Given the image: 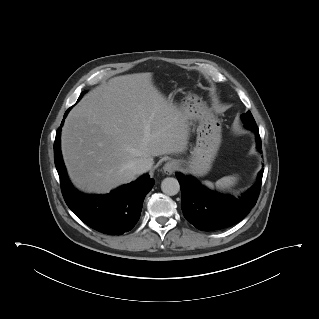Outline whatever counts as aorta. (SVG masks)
<instances>
[{
	"label": "aorta",
	"mask_w": 319,
	"mask_h": 319,
	"mask_svg": "<svg viewBox=\"0 0 319 319\" xmlns=\"http://www.w3.org/2000/svg\"><path fill=\"white\" fill-rule=\"evenodd\" d=\"M161 190L166 195H176L180 190L178 180L172 177L165 178L161 183Z\"/></svg>",
	"instance_id": "obj_1"
}]
</instances>
